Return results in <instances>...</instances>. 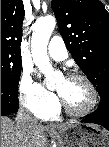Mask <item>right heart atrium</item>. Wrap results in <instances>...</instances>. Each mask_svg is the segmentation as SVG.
I'll return each mask as SVG.
<instances>
[{"label":"right heart atrium","mask_w":109,"mask_h":147,"mask_svg":"<svg viewBox=\"0 0 109 147\" xmlns=\"http://www.w3.org/2000/svg\"><path fill=\"white\" fill-rule=\"evenodd\" d=\"M19 99L24 107L36 115L52 109L57 102L54 94L36 82L27 69L22 71L20 78Z\"/></svg>","instance_id":"obj_1"}]
</instances>
